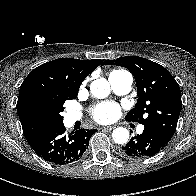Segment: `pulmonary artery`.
Wrapping results in <instances>:
<instances>
[{
	"label": "pulmonary artery",
	"mask_w": 196,
	"mask_h": 196,
	"mask_svg": "<svg viewBox=\"0 0 196 196\" xmlns=\"http://www.w3.org/2000/svg\"><path fill=\"white\" fill-rule=\"evenodd\" d=\"M109 82L112 87V90L119 95L126 94L130 91L132 86V76L129 72H121L115 75H109ZM68 117L71 121H76L81 118L79 112L72 111L68 114ZM144 130V126L140 125L138 127V132L141 133Z\"/></svg>",
	"instance_id": "obj_1"
}]
</instances>
